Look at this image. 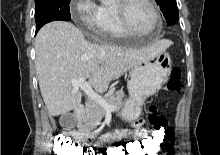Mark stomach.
I'll use <instances>...</instances> for the list:
<instances>
[{
    "mask_svg": "<svg viewBox=\"0 0 220 155\" xmlns=\"http://www.w3.org/2000/svg\"><path fill=\"white\" fill-rule=\"evenodd\" d=\"M171 62V57L165 50L131 70L127 83L129 99L121 112L123 119L131 121L140 116L147 98L158 93L168 80Z\"/></svg>",
    "mask_w": 220,
    "mask_h": 155,
    "instance_id": "1",
    "label": "stomach"
}]
</instances>
